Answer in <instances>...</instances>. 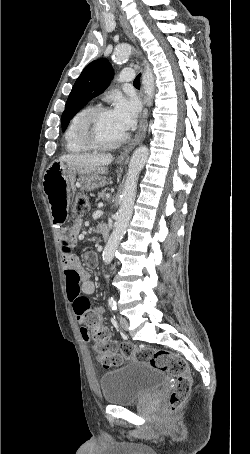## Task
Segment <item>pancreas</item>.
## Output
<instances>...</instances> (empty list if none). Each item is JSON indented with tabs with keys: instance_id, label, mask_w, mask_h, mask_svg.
I'll list each match as a JSON object with an SVG mask.
<instances>
[{
	"instance_id": "1",
	"label": "pancreas",
	"mask_w": 250,
	"mask_h": 454,
	"mask_svg": "<svg viewBox=\"0 0 250 454\" xmlns=\"http://www.w3.org/2000/svg\"><path fill=\"white\" fill-rule=\"evenodd\" d=\"M104 196H105V190H103L102 192H100V193L98 194V197H99V198H104Z\"/></svg>"
}]
</instances>
